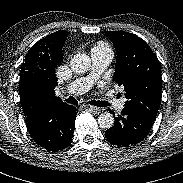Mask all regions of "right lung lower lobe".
Segmentation results:
<instances>
[{
	"instance_id": "98d812e1",
	"label": "right lung lower lobe",
	"mask_w": 183,
	"mask_h": 183,
	"mask_svg": "<svg viewBox=\"0 0 183 183\" xmlns=\"http://www.w3.org/2000/svg\"><path fill=\"white\" fill-rule=\"evenodd\" d=\"M76 114L73 106L41 104L25 114V123L39 146L57 152L72 143Z\"/></svg>"
}]
</instances>
